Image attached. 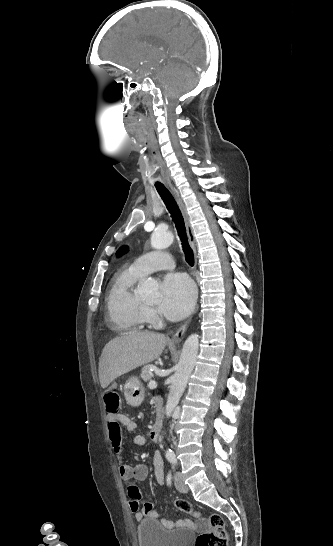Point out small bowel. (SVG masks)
Listing matches in <instances>:
<instances>
[{
    "mask_svg": "<svg viewBox=\"0 0 333 546\" xmlns=\"http://www.w3.org/2000/svg\"><path fill=\"white\" fill-rule=\"evenodd\" d=\"M115 381L109 380L108 387H106V392H114ZM107 427L108 435L110 442L116 452L120 451L121 445V425L125 426L129 431H134L137 428V424L131 420L128 416L118 413L117 415H110L107 410ZM118 429L120 430V435H117ZM133 443L138 446H143L146 444V438L142 435H136L133 437ZM153 466H154V476L158 484H163L165 480L164 475V464L162 457L159 452H156L153 457ZM120 477L125 482L128 495L130 497L129 507L130 510L134 513L135 519L140 520L143 517H150L157 519L158 515L154 510L153 504L151 502H145L140 507L141 495L136 487L134 481L144 480L148 475V467L145 464H129L121 463L118 468ZM161 523L166 526H172L173 523L169 520L162 519ZM184 521H181L180 524H183Z\"/></svg>",
    "mask_w": 333,
    "mask_h": 546,
    "instance_id": "c3829d8e",
    "label": "small bowel"
}]
</instances>
